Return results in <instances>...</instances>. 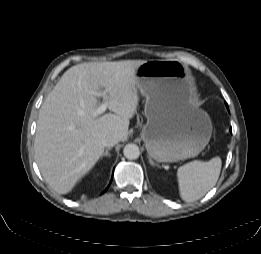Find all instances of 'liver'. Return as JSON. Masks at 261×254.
Listing matches in <instances>:
<instances>
[{
	"label": "liver",
	"instance_id": "liver-1",
	"mask_svg": "<svg viewBox=\"0 0 261 254\" xmlns=\"http://www.w3.org/2000/svg\"><path fill=\"white\" fill-rule=\"evenodd\" d=\"M145 62L81 63L69 68L48 94L39 110L34 151L43 178L55 192L69 193L89 172L103 155L106 136L127 139L139 103L135 74ZM101 89L114 114L94 116Z\"/></svg>",
	"mask_w": 261,
	"mask_h": 254
}]
</instances>
